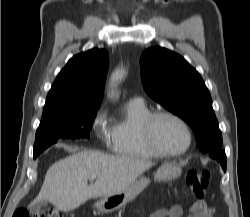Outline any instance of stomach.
<instances>
[{
	"label": "stomach",
	"instance_id": "1",
	"mask_svg": "<svg viewBox=\"0 0 250 217\" xmlns=\"http://www.w3.org/2000/svg\"><path fill=\"white\" fill-rule=\"evenodd\" d=\"M181 174V166L175 163L163 164L156 172L155 180L166 181L177 178ZM150 183L149 179L140 178L127 189L108 196H102L97 202V210L104 213H112L125 207L134 200Z\"/></svg>",
	"mask_w": 250,
	"mask_h": 217
}]
</instances>
